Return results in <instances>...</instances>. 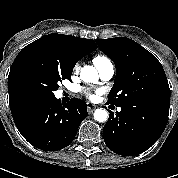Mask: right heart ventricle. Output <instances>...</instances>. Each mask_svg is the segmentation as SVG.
Returning <instances> with one entry per match:
<instances>
[{
    "instance_id": "e07e8e85",
    "label": "right heart ventricle",
    "mask_w": 178,
    "mask_h": 178,
    "mask_svg": "<svg viewBox=\"0 0 178 178\" xmlns=\"http://www.w3.org/2000/svg\"><path fill=\"white\" fill-rule=\"evenodd\" d=\"M110 61L107 57L103 55H97L93 58V63L95 64L96 67H99L100 65Z\"/></svg>"
}]
</instances>
